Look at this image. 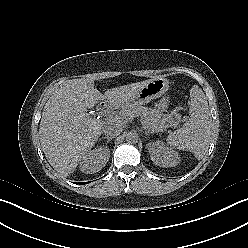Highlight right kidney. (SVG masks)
<instances>
[{
  "label": "right kidney",
  "mask_w": 248,
  "mask_h": 248,
  "mask_svg": "<svg viewBox=\"0 0 248 248\" xmlns=\"http://www.w3.org/2000/svg\"><path fill=\"white\" fill-rule=\"evenodd\" d=\"M110 150L108 147H98L90 150L80 162V170L86 174H93L100 171L108 162Z\"/></svg>",
  "instance_id": "ca27d5eb"
}]
</instances>
